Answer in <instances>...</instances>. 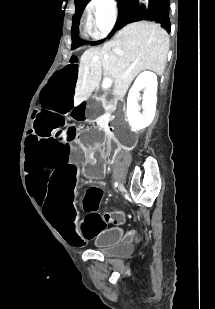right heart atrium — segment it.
<instances>
[{
    "label": "right heart atrium",
    "instance_id": "right-heart-atrium-1",
    "mask_svg": "<svg viewBox=\"0 0 215 309\" xmlns=\"http://www.w3.org/2000/svg\"><path fill=\"white\" fill-rule=\"evenodd\" d=\"M113 3L114 0H91V6L96 8L87 13V18L94 36L104 37L113 29L116 20Z\"/></svg>",
    "mask_w": 215,
    "mask_h": 309
}]
</instances>
